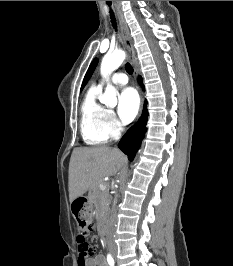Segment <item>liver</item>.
I'll return each mask as SVG.
<instances>
[{"mask_svg":"<svg viewBox=\"0 0 233 266\" xmlns=\"http://www.w3.org/2000/svg\"><path fill=\"white\" fill-rule=\"evenodd\" d=\"M125 162V155L116 148L100 146L74 149L69 163L70 202L92 189L103 177L115 175Z\"/></svg>","mask_w":233,"mask_h":266,"instance_id":"1","label":"liver"}]
</instances>
